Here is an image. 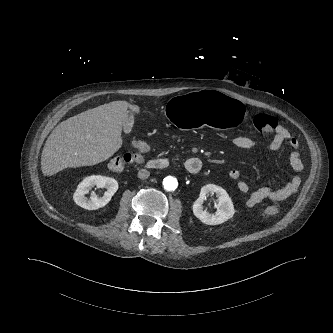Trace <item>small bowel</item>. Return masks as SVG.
<instances>
[{"label":"small bowel","instance_id":"c3829d8e","mask_svg":"<svg viewBox=\"0 0 333 333\" xmlns=\"http://www.w3.org/2000/svg\"><path fill=\"white\" fill-rule=\"evenodd\" d=\"M271 133L273 134V137L268 144V148L271 151L279 150L285 143L293 149V152L290 155V165L294 176L291 181L281 189H272L270 187L264 186L255 190H251L250 186L243 179L242 174L238 169L230 170L228 176L233 182L236 183L237 189L241 193L247 195L246 205L248 207H253L264 200L278 202L289 199L296 193L301 182L298 174L303 170V162L301 155L298 152V139L281 124H276L274 130ZM232 144L236 148L242 150H252L257 147V142L247 136L233 137ZM132 150L135 153L147 155L151 151V146L149 143L143 140H134L132 142Z\"/></svg>","mask_w":333,"mask_h":333}]
</instances>
